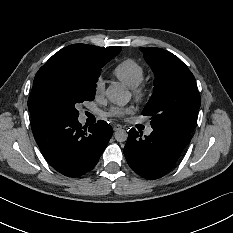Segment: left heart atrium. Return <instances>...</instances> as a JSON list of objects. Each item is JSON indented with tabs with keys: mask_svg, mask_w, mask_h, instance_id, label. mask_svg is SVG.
Masks as SVG:
<instances>
[{
	"mask_svg": "<svg viewBox=\"0 0 233 233\" xmlns=\"http://www.w3.org/2000/svg\"><path fill=\"white\" fill-rule=\"evenodd\" d=\"M129 112H130V109H120V110H114L112 114L115 116H123Z\"/></svg>",
	"mask_w": 233,
	"mask_h": 233,
	"instance_id": "obj_1",
	"label": "left heart atrium"
}]
</instances>
